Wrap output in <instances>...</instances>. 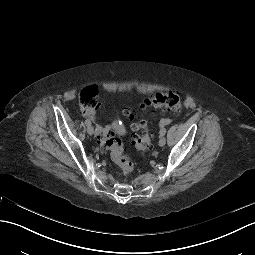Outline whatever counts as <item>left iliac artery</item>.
Masks as SVG:
<instances>
[{
	"label": "left iliac artery",
	"instance_id": "1",
	"mask_svg": "<svg viewBox=\"0 0 255 255\" xmlns=\"http://www.w3.org/2000/svg\"><path fill=\"white\" fill-rule=\"evenodd\" d=\"M165 133H166V128H162L160 130V135L163 136V135H165Z\"/></svg>",
	"mask_w": 255,
	"mask_h": 255
}]
</instances>
